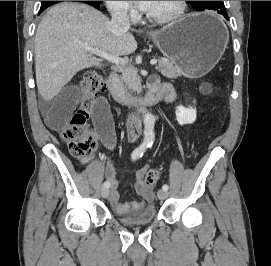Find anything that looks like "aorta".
I'll return each instance as SVG.
<instances>
[{
    "label": "aorta",
    "mask_w": 271,
    "mask_h": 266,
    "mask_svg": "<svg viewBox=\"0 0 271 266\" xmlns=\"http://www.w3.org/2000/svg\"><path fill=\"white\" fill-rule=\"evenodd\" d=\"M144 122V138L145 140H152L154 139V124L155 118L150 113H145L143 117Z\"/></svg>",
    "instance_id": "762f6f07"
}]
</instances>
